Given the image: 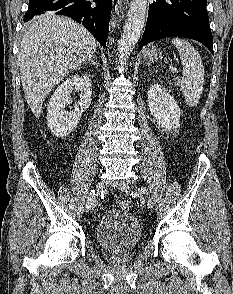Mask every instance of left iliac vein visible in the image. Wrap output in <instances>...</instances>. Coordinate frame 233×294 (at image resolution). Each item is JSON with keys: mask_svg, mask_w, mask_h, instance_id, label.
<instances>
[{"mask_svg": "<svg viewBox=\"0 0 233 294\" xmlns=\"http://www.w3.org/2000/svg\"><path fill=\"white\" fill-rule=\"evenodd\" d=\"M120 189L124 192L131 191V187L127 183H122L120 185ZM133 190H134V193L136 194V198H139V202H146V197H143L142 191L137 186H134Z\"/></svg>", "mask_w": 233, "mask_h": 294, "instance_id": "left-iliac-vein-1", "label": "left iliac vein"}]
</instances>
